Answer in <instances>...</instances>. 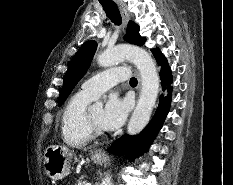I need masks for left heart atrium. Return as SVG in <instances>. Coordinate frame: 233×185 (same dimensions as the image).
I'll list each match as a JSON object with an SVG mask.
<instances>
[{"mask_svg": "<svg viewBox=\"0 0 233 185\" xmlns=\"http://www.w3.org/2000/svg\"><path fill=\"white\" fill-rule=\"evenodd\" d=\"M129 111V102L118 96H111L102 111L101 126L105 130H115L125 121Z\"/></svg>", "mask_w": 233, "mask_h": 185, "instance_id": "obj_1", "label": "left heart atrium"}]
</instances>
